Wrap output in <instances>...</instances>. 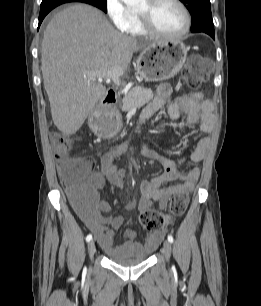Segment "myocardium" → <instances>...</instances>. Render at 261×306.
<instances>
[{"label": "myocardium", "mask_w": 261, "mask_h": 306, "mask_svg": "<svg viewBox=\"0 0 261 306\" xmlns=\"http://www.w3.org/2000/svg\"><path fill=\"white\" fill-rule=\"evenodd\" d=\"M160 0H145L146 2V7L144 9H137L136 13L137 16L140 20V23L142 25V27L144 28V30L152 35V36H156V37H160V38H165V39H178L183 37L185 34L188 33V31L191 28V14L190 11L188 9V7L186 6V4L182 1V0H171L173 3H175L182 11L183 15H184V26L183 28L175 34H167L164 33L160 30H158L151 18V9L152 7L158 3Z\"/></svg>", "instance_id": "f54148a6"}]
</instances>
